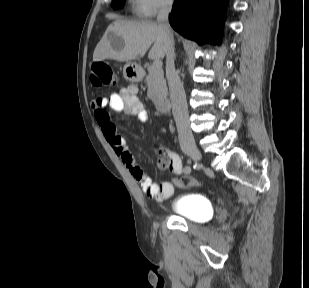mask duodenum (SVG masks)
Here are the masks:
<instances>
[{
  "label": "duodenum",
  "mask_w": 309,
  "mask_h": 288,
  "mask_svg": "<svg viewBox=\"0 0 309 288\" xmlns=\"http://www.w3.org/2000/svg\"><path fill=\"white\" fill-rule=\"evenodd\" d=\"M158 107H159L160 112L167 113L169 111V109H170V101H169V99H167V98L161 99L158 102Z\"/></svg>",
  "instance_id": "410a0bca"
}]
</instances>
